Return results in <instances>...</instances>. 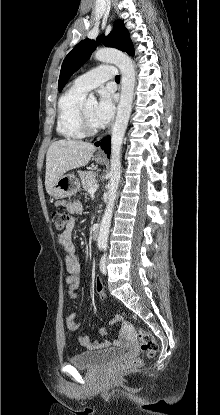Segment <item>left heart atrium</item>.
<instances>
[{"mask_svg":"<svg viewBox=\"0 0 220 415\" xmlns=\"http://www.w3.org/2000/svg\"><path fill=\"white\" fill-rule=\"evenodd\" d=\"M113 94L109 89L100 91L99 100L94 109V118L99 126L107 124L114 115Z\"/></svg>","mask_w":220,"mask_h":415,"instance_id":"39dd6f15","label":"left heart atrium"}]
</instances>
